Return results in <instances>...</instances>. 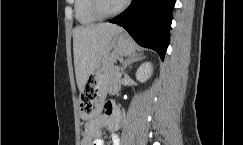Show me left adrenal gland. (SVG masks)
Instances as JSON below:
<instances>
[{
    "label": "left adrenal gland",
    "instance_id": "obj_1",
    "mask_svg": "<svg viewBox=\"0 0 243 145\" xmlns=\"http://www.w3.org/2000/svg\"><path fill=\"white\" fill-rule=\"evenodd\" d=\"M142 59H144V57H141V56H135V57H129V58H127L125 60V62H124V65H123V68H122V72L125 71V69H126L127 66H130L132 63L137 62V61H140Z\"/></svg>",
    "mask_w": 243,
    "mask_h": 145
}]
</instances>
